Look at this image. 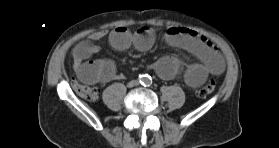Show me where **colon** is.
Segmentation results:
<instances>
[{"label":"colon","instance_id":"obj_1","mask_svg":"<svg viewBox=\"0 0 279 148\" xmlns=\"http://www.w3.org/2000/svg\"><path fill=\"white\" fill-rule=\"evenodd\" d=\"M74 88L78 95H80L82 98L89 100V101H95L98 97L97 89L82 85L79 83H74ZM215 89V82L213 80H209L203 87H201L197 94L199 97H206L207 95L211 94Z\"/></svg>","mask_w":279,"mask_h":148}]
</instances>
